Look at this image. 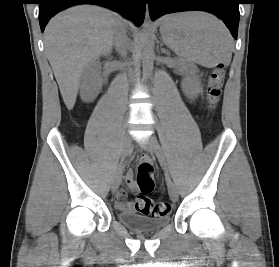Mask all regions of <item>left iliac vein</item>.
I'll return each instance as SVG.
<instances>
[{
  "instance_id": "4c4485c4",
  "label": "left iliac vein",
  "mask_w": 279,
  "mask_h": 267,
  "mask_svg": "<svg viewBox=\"0 0 279 267\" xmlns=\"http://www.w3.org/2000/svg\"><path fill=\"white\" fill-rule=\"evenodd\" d=\"M146 147L151 153L157 156L161 153L160 145L155 136H150L147 139ZM168 193L173 202L178 200V190L171 180H168Z\"/></svg>"
}]
</instances>
